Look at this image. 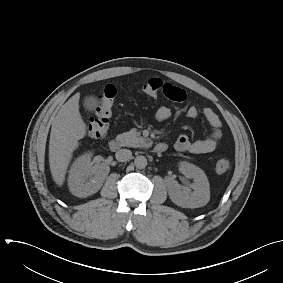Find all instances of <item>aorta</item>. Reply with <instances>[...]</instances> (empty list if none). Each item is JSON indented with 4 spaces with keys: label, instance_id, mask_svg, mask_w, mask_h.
<instances>
[{
    "label": "aorta",
    "instance_id": "1",
    "mask_svg": "<svg viewBox=\"0 0 283 283\" xmlns=\"http://www.w3.org/2000/svg\"><path fill=\"white\" fill-rule=\"evenodd\" d=\"M134 164L138 169H144L147 166V159L146 157L140 155L137 156L134 160Z\"/></svg>",
    "mask_w": 283,
    "mask_h": 283
}]
</instances>
